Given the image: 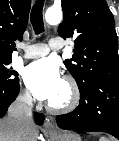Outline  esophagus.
<instances>
[{"mask_svg":"<svg viewBox=\"0 0 119 141\" xmlns=\"http://www.w3.org/2000/svg\"><path fill=\"white\" fill-rule=\"evenodd\" d=\"M44 127L47 131H53L55 130V124L53 122V120L49 117H47L45 119V122H44Z\"/></svg>","mask_w":119,"mask_h":141,"instance_id":"1","label":"esophagus"}]
</instances>
